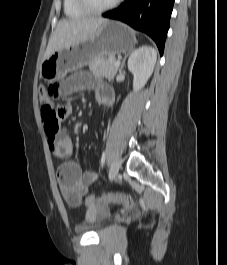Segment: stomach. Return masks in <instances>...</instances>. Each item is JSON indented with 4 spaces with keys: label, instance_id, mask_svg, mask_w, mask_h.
Listing matches in <instances>:
<instances>
[{
    "label": "stomach",
    "instance_id": "obj_1",
    "mask_svg": "<svg viewBox=\"0 0 227 265\" xmlns=\"http://www.w3.org/2000/svg\"><path fill=\"white\" fill-rule=\"evenodd\" d=\"M136 36L132 29L118 21L101 25L85 41L57 50L42 61L40 75L53 82L64 78L99 57H112L133 49Z\"/></svg>",
    "mask_w": 227,
    "mask_h": 265
}]
</instances>
